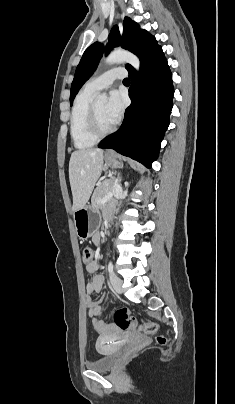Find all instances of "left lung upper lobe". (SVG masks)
<instances>
[{
  "label": "left lung upper lobe",
  "instance_id": "left-lung-upper-lobe-1",
  "mask_svg": "<svg viewBox=\"0 0 235 404\" xmlns=\"http://www.w3.org/2000/svg\"><path fill=\"white\" fill-rule=\"evenodd\" d=\"M122 46V48L131 51L137 55L142 63L146 57L154 53L160 46L155 37L147 31L140 29L139 25L130 18L125 17L123 22V33L120 35L118 26H114L108 37V44L104 49L103 44L93 43L84 52L79 65L77 66L75 76L71 85L70 104L78 93L81 86L89 79L95 71L104 51L107 54L113 47ZM128 71L134 68L126 64Z\"/></svg>",
  "mask_w": 235,
  "mask_h": 404
}]
</instances>
